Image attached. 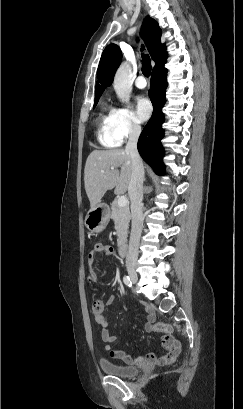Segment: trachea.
<instances>
[{
    "label": "trachea",
    "instance_id": "trachea-1",
    "mask_svg": "<svg viewBox=\"0 0 243 409\" xmlns=\"http://www.w3.org/2000/svg\"><path fill=\"white\" fill-rule=\"evenodd\" d=\"M144 50V46L141 47V51ZM151 63L150 57L148 54H142V73L145 77H149L151 73Z\"/></svg>",
    "mask_w": 243,
    "mask_h": 409
}]
</instances>
